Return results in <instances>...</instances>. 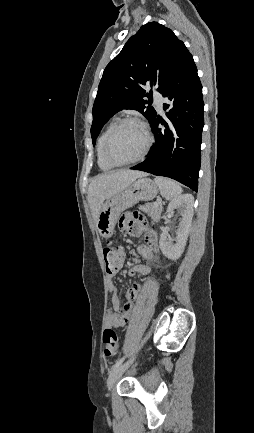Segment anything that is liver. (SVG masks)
I'll list each match as a JSON object with an SVG mask.
<instances>
[{"mask_svg":"<svg viewBox=\"0 0 254 433\" xmlns=\"http://www.w3.org/2000/svg\"><path fill=\"white\" fill-rule=\"evenodd\" d=\"M145 176L146 174L141 171L121 169L94 177L88 187L87 200L95 221H97L105 200H109L136 179Z\"/></svg>","mask_w":254,"mask_h":433,"instance_id":"obj_1","label":"liver"}]
</instances>
